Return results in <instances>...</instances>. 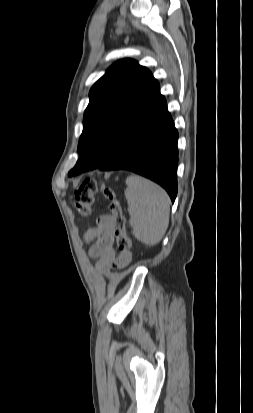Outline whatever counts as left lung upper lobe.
<instances>
[{"label":"left lung upper lobe","mask_w":253,"mask_h":413,"mask_svg":"<svg viewBox=\"0 0 253 413\" xmlns=\"http://www.w3.org/2000/svg\"><path fill=\"white\" fill-rule=\"evenodd\" d=\"M158 90V81L137 61L113 64L90 90L78 144L80 158L69 176L108 163L118 148L121 125L141 113Z\"/></svg>","instance_id":"5c2ea615"}]
</instances>
